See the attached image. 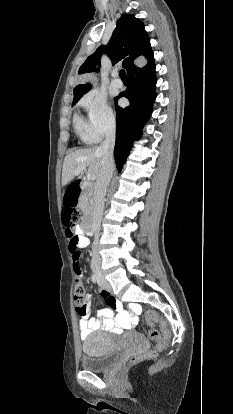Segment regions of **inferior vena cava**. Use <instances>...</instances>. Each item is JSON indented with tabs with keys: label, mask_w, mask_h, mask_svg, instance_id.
I'll return each instance as SVG.
<instances>
[{
	"label": "inferior vena cava",
	"mask_w": 233,
	"mask_h": 414,
	"mask_svg": "<svg viewBox=\"0 0 233 414\" xmlns=\"http://www.w3.org/2000/svg\"><path fill=\"white\" fill-rule=\"evenodd\" d=\"M115 122H112L108 125L105 133V140L101 143L99 149L103 155L102 169L97 177L95 198H94V209L92 213V223L95 233H98L101 226V220L103 217L104 211V201L107 192V187L112 178V173L114 170V158L113 150L115 145ZM94 240H97V237H94ZM90 250L92 251V263L99 265L100 258L98 257L99 248L96 244L90 245Z\"/></svg>",
	"instance_id": "602c4592"
}]
</instances>
